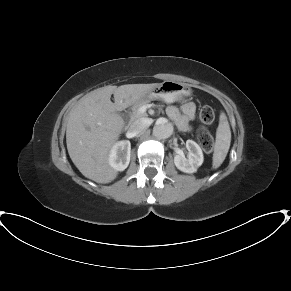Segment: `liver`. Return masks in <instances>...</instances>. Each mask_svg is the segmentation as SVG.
I'll use <instances>...</instances> for the list:
<instances>
[{
    "label": "liver",
    "instance_id": "1",
    "mask_svg": "<svg viewBox=\"0 0 291 291\" xmlns=\"http://www.w3.org/2000/svg\"><path fill=\"white\" fill-rule=\"evenodd\" d=\"M156 84L105 86L82 97L70 111L66 143L69 156L86 177L97 183H109L117 171L109 164V153L124 127L118 109L144 99ZM114 95L115 103L110 98Z\"/></svg>",
    "mask_w": 291,
    "mask_h": 291
}]
</instances>
